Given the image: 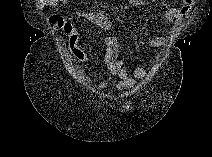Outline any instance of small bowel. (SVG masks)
Returning <instances> with one entry per match:
<instances>
[{"mask_svg":"<svg viewBox=\"0 0 212 157\" xmlns=\"http://www.w3.org/2000/svg\"><path fill=\"white\" fill-rule=\"evenodd\" d=\"M138 3V1H135ZM68 3V0H41L39 6L41 9L46 7H59ZM191 3H186L179 8H171L166 11L165 18L169 23L179 25L181 24L191 12ZM78 17H82L93 24L99 26L103 30L110 32L112 30V24L102 10L84 11L78 12ZM49 26L51 28H60L68 36V46L74 57L81 61H91V58L78 46L79 33L76 27L68 21L61 14H52L49 19ZM166 40L163 37H156L147 42L149 48H159L165 44ZM105 57L104 63L107 71L110 75L119 78L118 88L120 90L133 87L138 80L144 79L148 75V69L142 66L133 68L128 71L122 60L119 59V43L115 36H108L105 39ZM95 87L98 89H105L107 87L106 81H100L95 83Z\"/></svg>","mask_w":212,"mask_h":157,"instance_id":"1","label":"small bowel"}]
</instances>
